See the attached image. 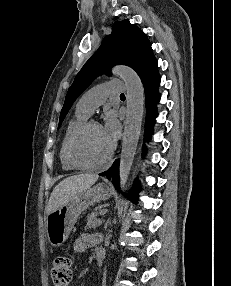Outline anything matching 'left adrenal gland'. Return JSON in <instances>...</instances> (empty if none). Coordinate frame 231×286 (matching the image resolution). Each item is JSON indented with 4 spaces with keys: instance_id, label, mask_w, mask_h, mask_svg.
Here are the masks:
<instances>
[{
    "instance_id": "a2214340",
    "label": "left adrenal gland",
    "mask_w": 231,
    "mask_h": 286,
    "mask_svg": "<svg viewBox=\"0 0 231 286\" xmlns=\"http://www.w3.org/2000/svg\"><path fill=\"white\" fill-rule=\"evenodd\" d=\"M110 224V220L108 219V221L105 224V227H107Z\"/></svg>"
}]
</instances>
